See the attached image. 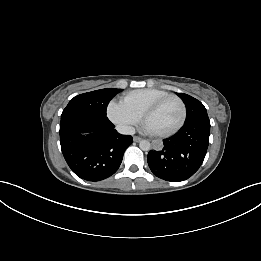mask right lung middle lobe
Returning a JSON list of instances; mask_svg holds the SVG:
<instances>
[{
	"instance_id": "dd1d6c3e",
	"label": "right lung middle lobe",
	"mask_w": 261,
	"mask_h": 261,
	"mask_svg": "<svg viewBox=\"0 0 261 261\" xmlns=\"http://www.w3.org/2000/svg\"><path fill=\"white\" fill-rule=\"evenodd\" d=\"M122 89L106 88L75 96L64 110H80L106 116L110 100Z\"/></svg>"
}]
</instances>
